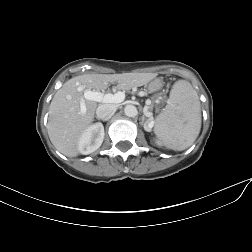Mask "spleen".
I'll use <instances>...</instances> for the list:
<instances>
[{
  "label": "spleen",
  "mask_w": 252,
  "mask_h": 252,
  "mask_svg": "<svg viewBox=\"0 0 252 252\" xmlns=\"http://www.w3.org/2000/svg\"><path fill=\"white\" fill-rule=\"evenodd\" d=\"M200 128L199 97L190 82L178 80L164 111L156 118L154 133L167 148L182 151L194 143Z\"/></svg>",
  "instance_id": "spleen-1"
}]
</instances>
